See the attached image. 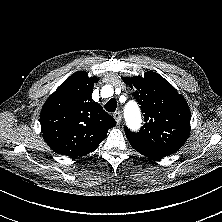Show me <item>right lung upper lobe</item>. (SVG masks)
<instances>
[{
  "label": "right lung upper lobe",
  "mask_w": 222,
  "mask_h": 222,
  "mask_svg": "<svg viewBox=\"0 0 222 222\" xmlns=\"http://www.w3.org/2000/svg\"><path fill=\"white\" fill-rule=\"evenodd\" d=\"M96 77L84 71L67 78L45 102L41 132L50 148L60 155L85 156L104 140L116 121L92 99Z\"/></svg>",
  "instance_id": "1"
}]
</instances>
